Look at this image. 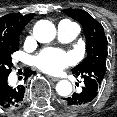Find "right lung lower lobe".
<instances>
[{
    "instance_id": "obj_1",
    "label": "right lung lower lobe",
    "mask_w": 117,
    "mask_h": 117,
    "mask_svg": "<svg viewBox=\"0 0 117 117\" xmlns=\"http://www.w3.org/2000/svg\"><path fill=\"white\" fill-rule=\"evenodd\" d=\"M25 74L29 76L32 74V71L27 69ZM8 75L0 76V107L14 109L22 104L25 87L23 85H18L17 87L8 85Z\"/></svg>"
}]
</instances>
